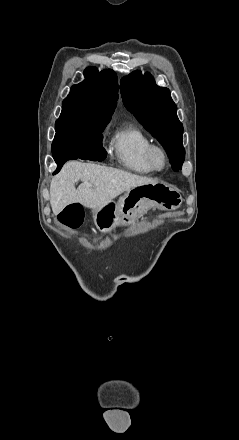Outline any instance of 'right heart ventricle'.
Wrapping results in <instances>:
<instances>
[{
	"mask_svg": "<svg viewBox=\"0 0 239 440\" xmlns=\"http://www.w3.org/2000/svg\"><path fill=\"white\" fill-rule=\"evenodd\" d=\"M152 144L149 135L134 125L115 130L110 140L117 164L126 170L143 175L155 172L148 161V150Z\"/></svg>",
	"mask_w": 239,
	"mask_h": 440,
	"instance_id": "e07e8e85",
	"label": "right heart ventricle"
}]
</instances>
